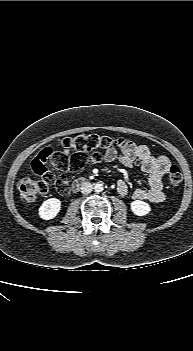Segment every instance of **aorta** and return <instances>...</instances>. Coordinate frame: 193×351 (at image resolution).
<instances>
[{"label":"aorta","instance_id":"aorta-1","mask_svg":"<svg viewBox=\"0 0 193 351\" xmlns=\"http://www.w3.org/2000/svg\"><path fill=\"white\" fill-rule=\"evenodd\" d=\"M103 184L102 183H96L95 185H94V190L96 191V192H102L103 191Z\"/></svg>","mask_w":193,"mask_h":351}]
</instances>
